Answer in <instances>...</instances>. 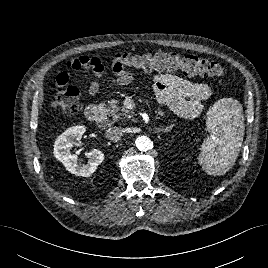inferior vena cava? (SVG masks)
<instances>
[{
    "label": "inferior vena cava",
    "mask_w": 268,
    "mask_h": 268,
    "mask_svg": "<svg viewBox=\"0 0 268 268\" xmlns=\"http://www.w3.org/2000/svg\"><path fill=\"white\" fill-rule=\"evenodd\" d=\"M106 138L112 141H117L123 135V131L119 127H111L105 132Z\"/></svg>",
    "instance_id": "602c4592"
}]
</instances>
